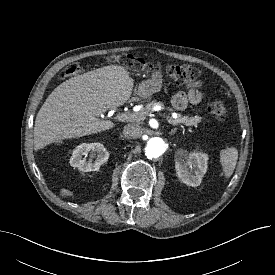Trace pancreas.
Returning <instances> with one entry per match:
<instances>
[{"label":"pancreas","instance_id":"1","mask_svg":"<svg viewBox=\"0 0 275 275\" xmlns=\"http://www.w3.org/2000/svg\"><path fill=\"white\" fill-rule=\"evenodd\" d=\"M156 105H161L160 102H156V101H152L150 102L141 112H140V116L137 120H143L145 115L152 111L153 107H155ZM170 119V121H172V123L174 124H185L186 126H197L201 121L202 118L199 116H182L181 114H178V117L176 119L168 117Z\"/></svg>","mask_w":275,"mask_h":275}]
</instances>
